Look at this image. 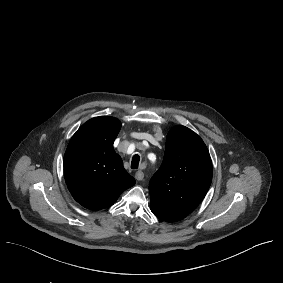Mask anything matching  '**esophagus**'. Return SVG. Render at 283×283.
Listing matches in <instances>:
<instances>
[{
  "mask_svg": "<svg viewBox=\"0 0 283 283\" xmlns=\"http://www.w3.org/2000/svg\"><path fill=\"white\" fill-rule=\"evenodd\" d=\"M144 178V173L141 170H138L135 173V179L141 181Z\"/></svg>",
  "mask_w": 283,
  "mask_h": 283,
  "instance_id": "obj_1",
  "label": "esophagus"
}]
</instances>
